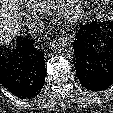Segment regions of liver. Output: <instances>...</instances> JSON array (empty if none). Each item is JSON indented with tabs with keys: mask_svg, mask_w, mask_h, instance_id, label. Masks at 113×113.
Segmentation results:
<instances>
[{
	"mask_svg": "<svg viewBox=\"0 0 113 113\" xmlns=\"http://www.w3.org/2000/svg\"><path fill=\"white\" fill-rule=\"evenodd\" d=\"M20 16L18 0H0V44L9 45L20 33Z\"/></svg>",
	"mask_w": 113,
	"mask_h": 113,
	"instance_id": "6515ba94",
	"label": "liver"
}]
</instances>
